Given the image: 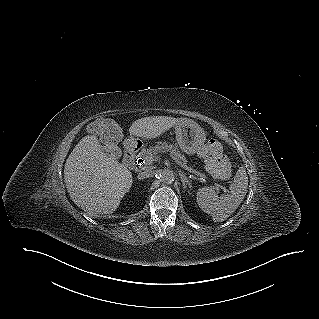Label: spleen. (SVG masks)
<instances>
[{"label": "spleen", "instance_id": "3e777b00", "mask_svg": "<svg viewBox=\"0 0 319 319\" xmlns=\"http://www.w3.org/2000/svg\"><path fill=\"white\" fill-rule=\"evenodd\" d=\"M248 188V176L242 166L237 171L230 192L220 197L211 187L200 188L197 192L199 207L210 214L214 222H222L232 215L243 201Z\"/></svg>", "mask_w": 319, "mask_h": 319}]
</instances>
